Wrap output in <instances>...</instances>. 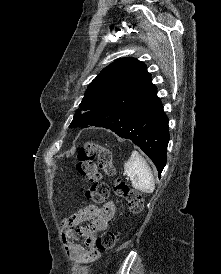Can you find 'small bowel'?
Masks as SVG:
<instances>
[{"mask_svg": "<svg viewBox=\"0 0 221 274\" xmlns=\"http://www.w3.org/2000/svg\"><path fill=\"white\" fill-rule=\"evenodd\" d=\"M115 214V205L108 201L101 207L87 205L77 209L62 221V239L69 258L78 264L96 261L100 252L96 248L97 233L104 231ZM89 222L87 226L83 223ZM84 240L85 246L80 244Z\"/></svg>", "mask_w": 221, "mask_h": 274, "instance_id": "small-bowel-1", "label": "small bowel"}]
</instances>
